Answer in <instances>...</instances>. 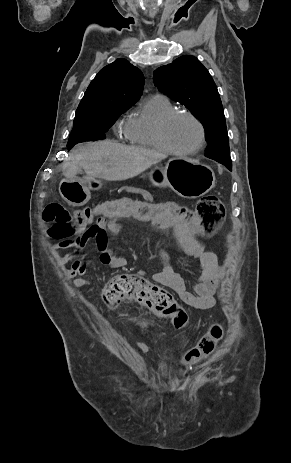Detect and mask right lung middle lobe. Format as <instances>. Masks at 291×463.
I'll return each instance as SVG.
<instances>
[{
    "instance_id": "obj_1",
    "label": "right lung middle lobe",
    "mask_w": 291,
    "mask_h": 463,
    "mask_svg": "<svg viewBox=\"0 0 291 463\" xmlns=\"http://www.w3.org/2000/svg\"><path fill=\"white\" fill-rule=\"evenodd\" d=\"M134 104L107 103L98 108L76 112L67 148L80 142L104 139L117 118Z\"/></svg>"
}]
</instances>
